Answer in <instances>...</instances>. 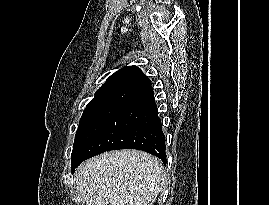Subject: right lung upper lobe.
<instances>
[{
	"label": "right lung upper lobe",
	"instance_id": "cb5924a9",
	"mask_svg": "<svg viewBox=\"0 0 269 205\" xmlns=\"http://www.w3.org/2000/svg\"><path fill=\"white\" fill-rule=\"evenodd\" d=\"M154 97L150 79L136 66H125L99 88L87 107L116 105L128 108Z\"/></svg>",
	"mask_w": 269,
	"mask_h": 205
}]
</instances>
